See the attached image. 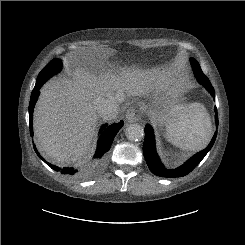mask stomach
Instances as JSON below:
<instances>
[{"label":"stomach","mask_w":245,"mask_h":245,"mask_svg":"<svg viewBox=\"0 0 245 245\" xmlns=\"http://www.w3.org/2000/svg\"><path fill=\"white\" fill-rule=\"evenodd\" d=\"M183 96L180 90H167L152 97L151 113L153 119L160 124H168L178 119L185 111Z\"/></svg>","instance_id":"obj_1"}]
</instances>
